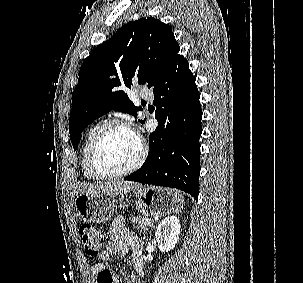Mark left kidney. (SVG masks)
I'll use <instances>...</instances> for the list:
<instances>
[{"mask_svg":"<svg viewBox=\"0 0 303 283\" xmlns=\"http://www.w3.org/2000/svg\"><path fill=\"white\" fill-rule=\"evenodd\" d=\"M180 228V221L175 216L165 218L159 223L155 237L160 251L168 252L175 247L179 240Z\"/></svg>","mask_w":303,"mask_h":283,"instance_id":"1","label":"left kidney"}]
</instances>
